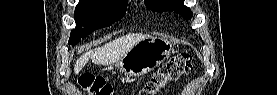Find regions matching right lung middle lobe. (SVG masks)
<instances>
[{
	"mask_svg": "<svg viewBox=\"0 0 277 95\" xmlns=\"http://www.w3.org/2000/svg\"><path fill=\"white\" fill-rule=\"evenodd\" d=\"M127 2L118 0H80L75 8L76 28L71 31L69 45H75L88 34L120 20Z\"/></svg>",
	"mask_w": 277,
	"mask_h": 95,
	"instance_id": "dd1d6c3e",
	"label": "right lung middle lobe"
}]
</instances>
